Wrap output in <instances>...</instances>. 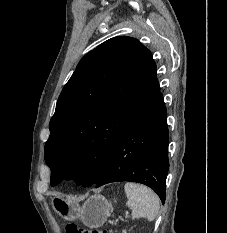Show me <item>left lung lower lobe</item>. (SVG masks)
I'll list each match as a JSON object with an SVG mask.
<instances>
[{
	"mask_svg": "<svg viewBox=\"0 0 227 233\" xmlns=\"http://www.w3.org/2000/svg\"><path fill=\"white\" fill-rule=\"evenodd\" d=\"M166 115L159 94L123 131L96 188L110 182H138L152 188L164 204L169 169Z\"/></svg>",
	"mask_w": 227,
	"mask_h": 233,
	"instance_id": "obj_1",
	"label": "left lung lower lobe"
}]
</instances>
